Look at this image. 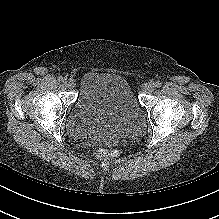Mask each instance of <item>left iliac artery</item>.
<instances>
[{
    "mask_svg": "<svg viewBox=\"0 0 219 219\" xmlns=\"http://www.w3.org/2000/svg\"><path fill=\"white\" fill-rule=\"evenodd\" d=\"M162 86V83L160 81L155 82V87L160 88Z\"/></svg>",
    "mask_w": 219,
    "mask_h": 219,
    "instance_id": "44dca946",
    "label": "left iliac artery"
}]
</instances>
